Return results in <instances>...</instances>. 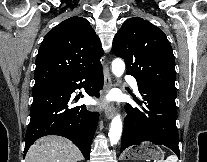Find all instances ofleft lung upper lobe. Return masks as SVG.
<instances>
[{
    "label": "left lung upper lobe",
    "mask_w": 207,
    "mask_h": 162,
    "mask_svg": "<svg viewBox=\"0 0 207 162\" xmlns=\"http://www.w3.org/2000/svg\"><path fill=\"white\" fill-rule=\"evenodd\" d=\"M113 53L125 60L127 74L140 86L175 89V60L165 34L140 17L124 22L113 40Z\"/></svg>",
    "instance_id": "1"
}]
</instances>
